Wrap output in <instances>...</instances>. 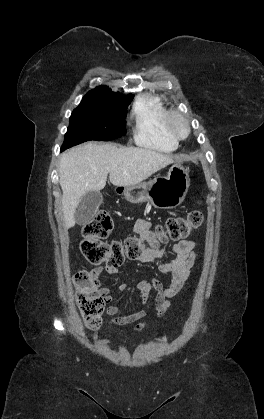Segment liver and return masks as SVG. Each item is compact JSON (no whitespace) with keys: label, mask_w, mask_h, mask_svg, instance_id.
Instances as JSON below:
<instances>
[{"label":"liver","mask_w":264,"mask_h":419,"mask_svg":"<svg viewBox=\"0 0 264 419\" xmlns=\"http://www.w3.org/2000/svg\"><path fill=\"white\" fill-rule=\"evenodd\" d=\"M176 156L139 147L88 142L60 157L62 211L67 229L75 225V210L88 191L102 190L109 174L115 186L136 185L172 164Z\"/></svg>","instance_id":"liver-1"}]
</instances>
